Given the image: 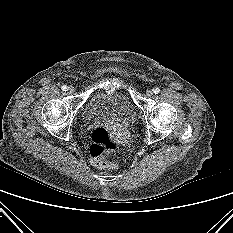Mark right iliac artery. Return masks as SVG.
I'll return each mask as SVG.
<instances>
[{"label": "right iliac artery", "instance_id": "82829eb1", "mask_svg": "<svg viewBox=\"0 0 233 233\" xmlns=\"http://www.w3.org/2000/svg\"><path fill=\"white\" fill-rule=\"evenodd\" d=\"M61 89H62L63 91H67V90H68V87H67L66 85H63V86L61 87Z\"/></svg>", "mask_w": 233, "mask_h": 233}]
</instances>
